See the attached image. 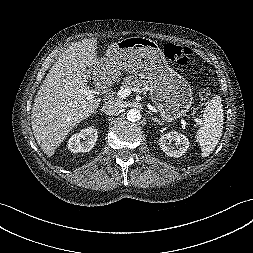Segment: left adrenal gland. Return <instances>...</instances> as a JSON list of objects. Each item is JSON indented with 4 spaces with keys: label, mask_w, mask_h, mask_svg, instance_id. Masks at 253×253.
<instances>
[{
    "label": "left adrenal gland",
    "mask_w": 253,
    "mask_h": 253,
    "mask_svg": "<svg viewBox=\"0 0 253 253\" xmlns=\"http://www.w3.org/2000/svg\"><path fill=\"white\" fill-rule=\"evenodd\" d=\"M150 118H151V120H152L153 122H156V123H158L159 125H161L160 121H159L156 117H150Z\"/></svg>",
    "instance_id": "1"
}]
</instances>
